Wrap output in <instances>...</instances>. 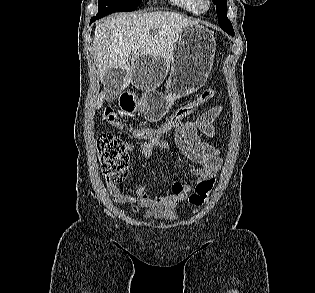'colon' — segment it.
I'll return each instance as SVG.
<instances>
[{
    "mask_svg": "<svg viewBox=\"0 0 315 293\" xmlns=\"http://www.w3.org/2000/svg\"><path fill=\"white\" fill-rule=\"evenodd\" d=\"M220 91L219 89L217 90ZM215 95L214 89H206L192 102L178 108L169 119L157 129H141L134 132L138 139H149L155 136L166 134L184 118L189 116L198 106L210 100ZM103 119L116 127L123 125L118 113L112 107H104L102 110ZM99 159L102 172L108 183L121 184L128 176L130 155L126 144L117 136L102 134L98 139ZM215 185L213 177L198 182L194 192L189 197V202L195 207L202 206Z\"/></svg>",
    "mask_w": 315,
    "mask_h": 293,
    "instance_id": "colon-1",
    "label": "colon"
}]
</instances>
